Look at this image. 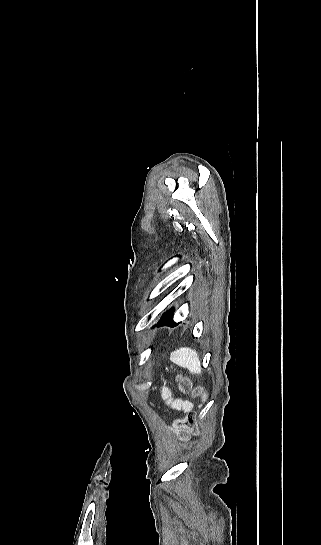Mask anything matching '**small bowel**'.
Returning a JSON list of instances; mask_svg holds the SVG:
<instances>
[{
	"label": "small bowel",
	"instance_id": "c3829d8e",
	"mask_svg": "<svg viewBox=\"0 0 321 545\" xmlns=\"http://www.w3.org/2000/svg\"><path fill=\"white\" fill-rule=\"evenodd\" d=\"M162 398L175 410L189 411L192 407L191 403L188 401L173 399L170 391L166 388L162 389Z\"/></svg>",
	"mask_w": 321,
	"mask_h": 545
}]
</instances>
